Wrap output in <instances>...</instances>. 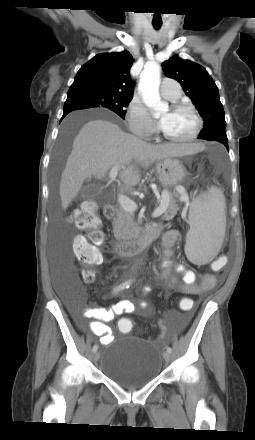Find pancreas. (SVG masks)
Here are the masks:
<instances>
[{"label": "pancreas", "instance_id": "pancreas-1", "mask_svg": "<svg viewBox=\"0 0 255 440\" xmlns=\"http://www.w3.org/2000/svg\"><path fill=\"white\" fill-rule=\"evenodd\" d=\"M162 204L166 205V210L163 213L162 218L165 220H171L179 210L178 205L174 197H179L178 193H171L167 190L162 191ZM113 233L118 240H131L136 238L139 233V227L134 221V213L125 211L122 207L116 210V217L113 219Z\"/></svg>", "mask_w": 255, "mask_h": 440}]
</instances>
